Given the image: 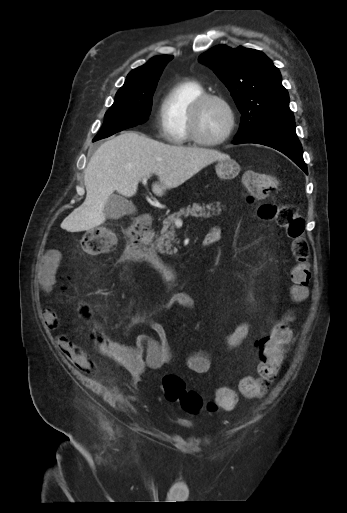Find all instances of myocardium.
I'll return each instance as SVG.
<instances>
[{"label": "myocardium", "mask_w": 347, "mask_h": 513, "mask_svg": "<svg viewBox=\"0 0 347 513\" xmlns=\"http://www.w3.org/2000/svg\"><path fill=\"white\" fill-rule=\"evenodd\" d=\"M210 101H216L222 104L228 112L229 115V124L226 132L218 139H205L201 136L199 132V121L201 117V112L205 104ZM237 117L236 112L232 104L229 102L227 98L220 94L214 93H204L200 95L198 98L194 100L192 105L190 106L188 113V133L189 138L192 142L201 145L214 147L223 144L226 142L234 133L236 128Z\"/></svg>", "instance_id": "f54148a6"}]
</instances>
